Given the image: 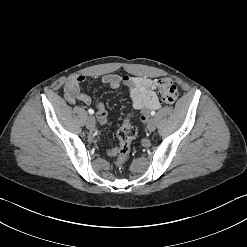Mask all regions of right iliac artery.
Returning <instances> with one entry per match:
<instances>
[{"label":"right iliac artery","mask_w":247,"mask_h":247,"mask_svg":"<svg viewBox=\"0 0 247 247\" xmlns=\"http://www.w3.org/2000/svg\"><path fill=\"white\" fill-rule=\"evenodd\" d=\"M88 113L92 115V114H94V110L93 109H88Z\"/></svg>","instance_id":"right-iliac-artery-1"}]
</instances>
